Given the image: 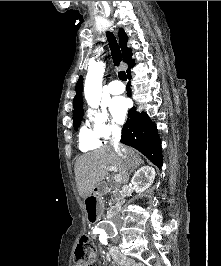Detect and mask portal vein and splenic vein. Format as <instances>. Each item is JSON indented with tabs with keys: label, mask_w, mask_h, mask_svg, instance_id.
Masks as SVG:
<instances>
[{
	"label": "portal vein and splenic vein",
	"mask_w": 221,
	"mask_h": 266,
	"mask_svg": "<svg viewBox=\"0 0 221 266\" xmlns=\"http://www.w3.org/2000/svg\"><path fill=\"white\" fill-rule=\"evenodd\" d=\"M106 170L117 172V168H116V167H113V166L107 167ZM114 180H115L116 182H120V181H121V177H120V175H119V174H116V175L114 176Z\"/></svg>",
	"instance_id": "18ae733b"
}]
</instances>
